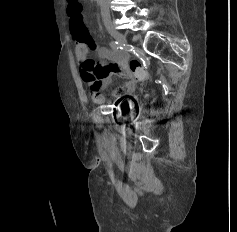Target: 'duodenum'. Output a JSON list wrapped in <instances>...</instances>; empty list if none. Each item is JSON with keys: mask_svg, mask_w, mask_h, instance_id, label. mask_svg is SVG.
Returning <instances> with one entry per match:
<instances>
[{"mask_svg": "<svg viewBox=\"0 0 237 232\" xmlns=\"http://www.w3.org/2000/svg\"><path fill=\"white\" fill-rule=\"evenodd\" d=\"M94 1H96L97 3H101V0H94Z\"/></svg>", "mask_w": 237, "mask_h": 232, "instance_id": "obj_1", "label": "duodenum"}]
</instances>
